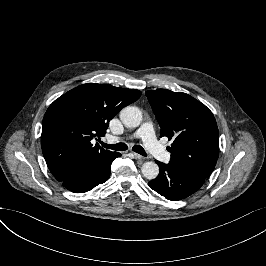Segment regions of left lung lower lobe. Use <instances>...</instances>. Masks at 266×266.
I'll list each match as a JSON object with an SVG mask.
<instances>
[{
    "instance_id": "obj_1",
    "label": "left lung lower lobe",
    "mask_w": 266,
    "mask_h": 266,
    "mask_svg": "<svg viewBox=\"0 0 266 266\" xmlns=\"http://www.w3.org/2000/svg\"><path fill=\"white\" fill-rule=\"evenodd\" d=\"M156 163L160 167V173L148 185L168 200L177 201L192 195L206 179L193 171L171 163L167 165L159 161Z\"/></svg>"
}]
</instances>
